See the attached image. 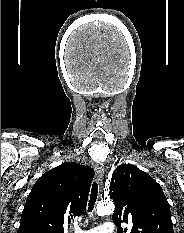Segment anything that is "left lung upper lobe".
Masks as SVG:
<instances>
[{
	"instance_id": "obj_1",
	"label": "left lung upper lobe",
	"mask_w": 184,
	"mask_h": 233,
	"mask_svg": "<svg viewBox=\"0 0 184 233\" xmlns=\"http://www.w3.org/2000/svg\"><path fill=\"white\" fill-rule=\"evenodd\" d=\"M109 189L116 205L112 218L118 233H174L169 203L149 174L132 164L119 165ZM122 222L130 228L123 229Z\"/></svg>"
}]
</instances>
